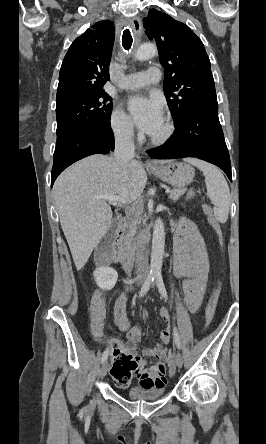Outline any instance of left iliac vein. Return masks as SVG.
I'll list each match as a JSON object with an SVG mask.
<instances>
[{"label": "left iliac vein", "mask_w": 266, "mask_h": 444, "mask_svg": "<svg viewBox=\"0 0 266 444\" xmlns=\"http://www.w3.org/2000/svg\"><path fill=\"white\" fill-rule=\"evenodd\" d=\"M175 361H176V365H177V367H178V368H181L182 365H183V356H182V354H181L180 352H178V353L176 354Z\"/></svg>", "instance_id": "left-iliac-vein-1"}]
</instances>
